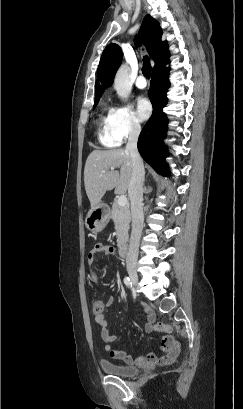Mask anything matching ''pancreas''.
<instances>
[{
	"label": "pancreas",
	"instance_id": "cf45deb5",
	"mask_svg": "<svg viewBox=\"0 0 243 409\" xmlns=\"http://www.w3.org/2000/svg\"><path fill=\"white\" fill-rule=\"evenodd\" d=\"M111 218L114 221L118 244L128 240V231L131 221L129 205L119 206L117 201L112 204Z\"/></svg>",
	"mask_w": 243,
	"mask_h": 409
}]
</instances>
